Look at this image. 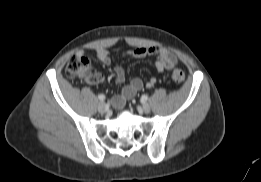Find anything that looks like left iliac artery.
Wrapping results in <instances>:
<instances>
[{
  "label": "left iliac artery",
  "instance_id": "obj_1",
  "mask_svg": "<svg viewBox=\"0 0 261 182\" xmlns=\"http://www.w3.org/2000/svg\"><path fill=\"white\" fill-rule=\"evenodd\" d=\"M147 100H148V96L147 95L144 94V95L141 96V101L142 102H145Z\"/></svg>",
  "mask_w": 261,
  "mask_h": 182
}]
</instances>
